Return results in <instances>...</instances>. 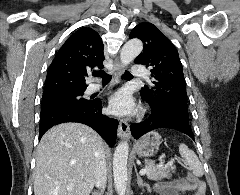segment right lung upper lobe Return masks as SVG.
Listing matches in <instances>:
<instances>
[{"label": "right lung upper lobe", "mask_w": 240, "mask_h": 195, "mask_svg": "<svg viewBox=\"0 0 240 195\" xmlns=\"http://www.w3.org/2000/svg\"><path fill=\"white\" fill-rule=\"evenodd\" d=\"M103 49L102 39L95 30L83 27L76 31L52 61L43 95L86 89L88 73L104 67Z\"/></svg>", "instance_id": "1"}]
</instances>
